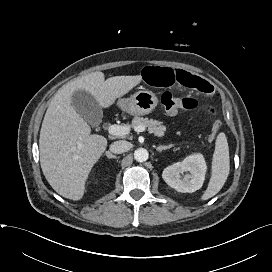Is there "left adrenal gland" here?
<instances>
[{"label": "left adrenal gland", "mask_w": 272, "mask_h": 272, "mask_svg": "<svg viewBox=\"0 0 272 272\" xmlns=\"http://www.w3.org/2000/svg\"><path fill=\"white\" fill-rule=\"evenodd\" d=\"M172 146H173V145H168V146H158V147H156V150L159 151V152H161V151H163V150H166V149L171 148Z\"/></svg>", "instance_id": "left-adrenal-gland-1"}]
</instances>
